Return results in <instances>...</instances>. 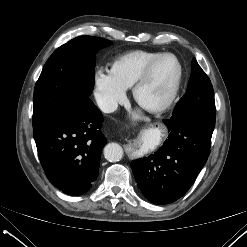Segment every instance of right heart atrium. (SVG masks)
<instances>
[{
	"mask_svg": "<svg viewBox=\"0 0 247 247\" xmlns=\"http://www.w3.org/2000/svg\"><path fill=\"white\" fill-rule=\"evenodd\" d=\"M94 96L103 112L112 113L125 101L126 89L116 81L111 72L98 69L94 75Z\"/></svg>",
	"mask_w": 247,
	"mask_h": 247,
	"instance_id": "obj_1",
	"label": "right heart atrium"
}]
</instances>
